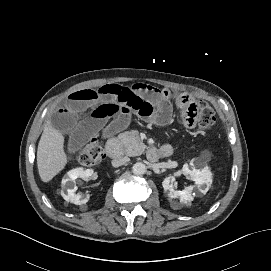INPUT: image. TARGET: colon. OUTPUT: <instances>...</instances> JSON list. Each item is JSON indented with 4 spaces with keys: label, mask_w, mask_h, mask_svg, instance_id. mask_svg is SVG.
Returning <instances> with one entry per match:
<instances>
[{
    "label": "colon",
    "mask_w": 271,
    "mask_h": 271,
    "mask_svg": "<svg viewBox=\"0 0 271 271\" xmlns=\"http://www.w3.org/2000/svg\"><path fill=\"white\" fill-rule=\"evenodd\" d=\"M179 104L182 108L184 125L188 128H196L201 135H206L215 121L212 107L206 101L190 94H181ZM102 159L103 151L98 139L90 138L79 156L80 164L90 167L99 164Z\"/></svg>",
    "instance_id": "5ec220e1"
}]
</instances>
